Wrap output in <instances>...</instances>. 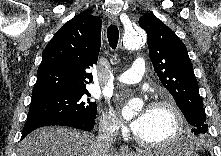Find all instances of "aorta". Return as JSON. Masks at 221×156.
<instances>
[{
    "mask_svg": "<svg viewBox=\"0 0 221 156\" xmlns=\"http://www.w3.org/2000/svg\"><path fill=\"white\" fill-rule=\"evenodd\" d=\"M145 34L139 29L132 28L124 32L122 44L127 49H136L144 44ZM141 108V102L138 100H130L128 105L122 110V115L129 119L133 116L134 111Z\"/></svg>",
    "mask_w": 221,
    "mask_h": 156,
    "instance_id": "obj_1",
    "label": "aorta"
}]
</instances>
